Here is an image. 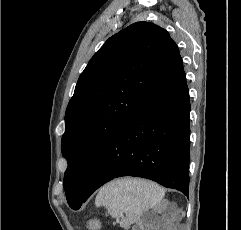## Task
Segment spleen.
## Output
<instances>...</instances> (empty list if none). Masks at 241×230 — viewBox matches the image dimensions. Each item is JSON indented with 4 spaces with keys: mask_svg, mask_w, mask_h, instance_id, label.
Wrapping results in <instances>:
<instances>
[{
    "mask_svg": "<svg viewBox=\"0 0 241 230\" xmlns=\"http://www.w3.org/2000/svg\"><path fill=\"white\" fill-rule=\"evenodd\" d=\"M164 197L156 183L135 178H122L103 186L97 196V207L104 206L112 217L126 215V224L138 221L144 211L153 208Z\"/></svg>",
    "mask_w": 241,
    "mask_h": 230,
    "instance_id": "spleen-1",
    "label": "spleen"
}]
</instances>
